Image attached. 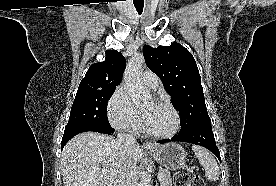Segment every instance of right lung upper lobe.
Instances as JSON below:
<instances>
[{"instance_id":"right-lung-upper-lobe-1","label":"right lung upper lobe","mask_w":276,"mask_h":186,"mask_svg":"<svg viewBox=\"0 0 276 186\" xmlns=\"http://www.w3.org/2000/svg\"><path fill=\"white\" fill-rule=\"evenodd\" d=\"M126 61L120 52L107 50L105 61L92 64L78 90L116 88L122 79Z\"/></svg>"}]
</instances>
